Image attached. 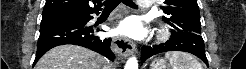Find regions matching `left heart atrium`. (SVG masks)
Returning a JSON list of instances; mask_svg holds the SVG:
<instances>
[{"instance_id": "obj_1", "label": "left heart atrium", "mask_w": 246, "mask_h": 69, "mask_svg": "<svg viewBox=\"0 0 246 69\" xmlns=\"http://www.w3.org/2000/svg\"><path fill=\"white\" fill-rule=\"evenodd\" d=\"M116 32L126 34L134 38H140L144 36L145 29L136 17L130 16L118 25Z\"/></svg>"}]
</instances>
